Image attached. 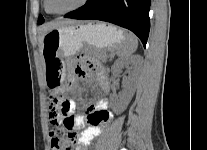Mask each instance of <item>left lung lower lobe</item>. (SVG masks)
<instances>
[{
  "label": "left lung lower lobe",
  "mask_w": 207,
  "mask_h": 150,
  "mask_svg": "<svg viewBox=\"0 0 207 150\" xmlns=\"http://www.w3.org/2000/svg\"><path fill=\"white\" fill-rule=\"evenodd\" d=\"M151 0H89L65 17L110 22L134 32L145 46L150 29Z\"/></svg>",
  "instance_id": "left-lung-lower-lobe-1"
}]
</instances>
